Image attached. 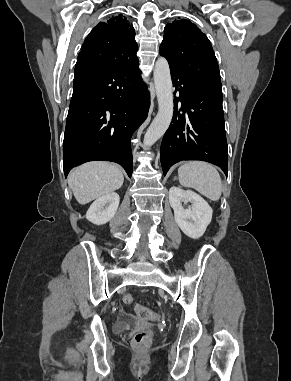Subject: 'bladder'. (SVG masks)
<instances>
[{
    "mask_svg": "<svg viewBox=\"0 0 291 381\" xmlns=\"http://www.w3.org/2000/svg\"><path fill=\"white\" fill-rule=\"evenodd\" d=\"M133 323L134 322L132 320H119L115 322L113 328L115 332H122V331H125L130 326H132Z\"/></svg>",
    "mask_w": 291,
    "mask_h": 381,
    "instance_id": "1",
    "label": "bladder"
}]
</instances>
